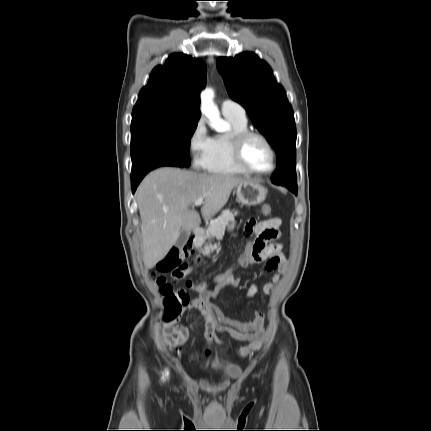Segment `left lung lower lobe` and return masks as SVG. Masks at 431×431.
<instances>
[{
  "instance_id": "left-lung-lower-lobe-1",
  "label": "left lung lower lobe",
  "mask_w": 431,
  "mask_h": 431,
  "mask_svg": "<svg viewBox=\"0 0 431 431\" xmlns=\"http://www.w3.org/2000/svg\"><path fill=\"white\" fill-rule=\"evenodd\" d=\"M289 188L293 193L297 194V187H287Z\"/></svg>"
}]
</instances>
